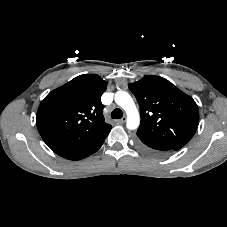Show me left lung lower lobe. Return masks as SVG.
<instances>
[{"mask_svg": "<svg viewBox=\"0 0 227 227\" xmlns=\"http://www.w3.org/2000/svg\"><path fill=\"white\" fill-rule=\"evenodd\" d=\"M136 143L141 150H143L151 155H157V156L164 155L170 151L166 147L152 144V143H147V142L145 143L140 140H136Z\"/></svg>", "mask_w": 227, "mask_h": 227, "instance_id": "1", "label": "left lung lower lobe"}]
</instances>
